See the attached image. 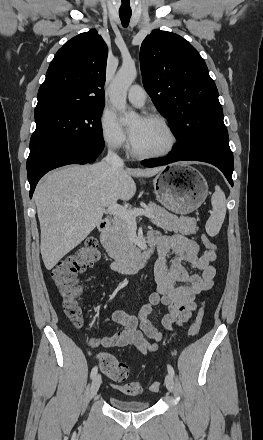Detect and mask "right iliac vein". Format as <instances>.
I'll return each instance as SVG.
<instances>
[{"instance_id": "right-iliac-vein-1", "label": "right iliac vein", "mask_w": 263, "mask_h": 440, "mask_svg": "<svg viewBox=\"0 0 263 440\" xmlns=\"http://www.w3.org/2000/svg\"><path fill=\"white\" fill-rule=\"evenodd\" d=\"M102 379H101V375L97 374L94 378L93 381L91 383V387H90V397H94L101 385Z\"/></svg>"}]
</instances>
